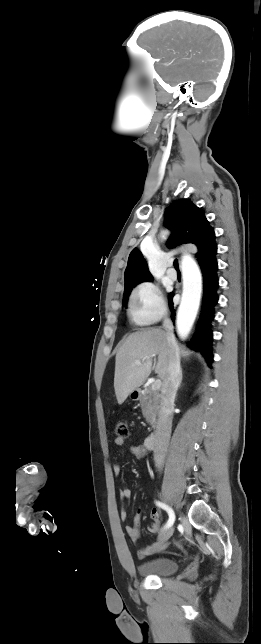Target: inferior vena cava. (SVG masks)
<instances>
[{
  "label": "inferior vena cava",
  "mask_w": 261,
  "mask_h": 644,
  "mask_svg": "<svg viewBox=\"0 0 261 644\" xmlns=\"http://www.w3.org/2000/svg\"><path fill=\"white\" fill-rule=\"evenodd\" d=\"M163 327L166 330L167 340L172 345V352L169 358L167 377L162 386L159 418L154 442V461L158 469H162L164 465L170 441L172 410L181 373L180 354L173 335V325L169 318L166 317L164 319Z\"/></svg>",
  "instance_id": "inferior-vena-cava-1"
}]
</instances>
